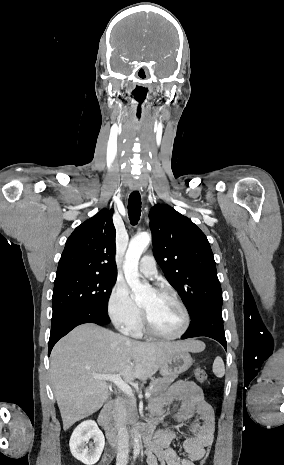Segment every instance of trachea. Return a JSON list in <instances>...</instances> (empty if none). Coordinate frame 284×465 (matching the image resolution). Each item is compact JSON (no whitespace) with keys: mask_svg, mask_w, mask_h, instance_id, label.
I'll use <instances>...</instances> for the list:
<instances>
[{"mask_svg":"<svg viewBox=\"0 0 284 465\" xmlns=\"http://www.w3.org/2000/svg\"><path fill=\"white\" fill-rule=\"evenodd\" d=\"M128 215L132 225H137L141 216V197L138 191H133L128 200Z\"/></svg>","mask_w":284,"mask_h":465,"instance_id":"obj_1","label":"trachea"}]
</instances>
